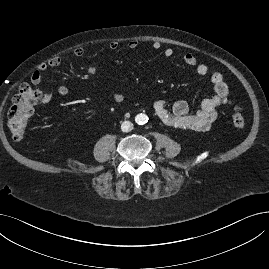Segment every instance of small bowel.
<instances>
[{"mask_svg": "<svg viewBox=\"0 0 269 269\" xmlns=\"http://www.w3.org/2000/svg\"><path fill=\"white\" fill-rule=\"evenodd\" d=\"M139 46L137 40H130L127 47L130 50H135ZM119 47L118 42L112 41L109 43L110 50H117ZM152 48L156 51L162 49L160 42H153ZM85 51L83 48L78 47L73 50V55L76 57H82ZM163 55L165 58H171L174 55V50L171 47L163 49ZM182 61L185 65L195 67V71L200 76H209L214 95L210 98L203 100L200 109L196 113H190L189 105L184 100L176 101L170 108L162 100H157L153 104L154 111L159 119L167 126L180 131H206L216 121L218 117V109L220 106L228 105L231 103L229 86L224 80L223 75L220 72H211L210 68L206 64H198L196 57L192 53H185L182 57ZM62 58L53 57L47 62H44L38 66V68L31 74V82L34 85H39L43 79V73L49 68H55L60 66ZM87 72L90 75L97 73V67L90 65L87 67ZM58 93L65 96L69 93V89L66 86H59ZM42 102L48 103L54 96V91L51 88H43L41 90ZM112 99L116 103L123 101V96L120 93L114 92Z\"/></svg>", "mask_w": 269, "mask_h": 269, "instance_id": "1", "label": "small bowel"}]
</instances>
